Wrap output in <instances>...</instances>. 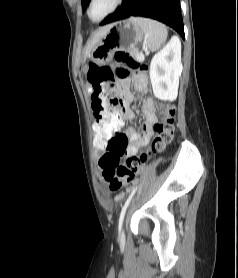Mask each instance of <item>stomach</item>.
<instances>
[{
	"label": "stomach",
	"instance_id": "0dacf381",
	"mask_svg": "<svg viewBox=\"0 0 238 278\" xmlns=\"http://www.w3.org/2000/svg\"><path fill=\"white\" fill-rule=\"evenodd\" d=\"M144 39L141 27L132 19L109 25L105 35L93 46L89 56L98 65L108 64L118 50L135 49Z\"/></svg>",
	"mask_w": 238,
	"mask_h": 278
}]
</instances>
